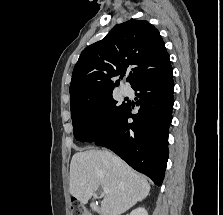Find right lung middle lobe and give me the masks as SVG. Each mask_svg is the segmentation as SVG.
<instances>
[{
    "label": "right lung middle lobe",
    "instance_id": "1",
    "mask_svg": "<svg viewBox=\"0 0 223 215\" xmlns=\"http://www.w3.org/2000/svg\"><path fill=\"white\" fill-rule=\"evenodd\" d=\"M127 104H117L112 97L71 108L73 134L81 142H93L106 136L123 117Z\"/></svg>",
    "mask_w": 223,
    "mask_h": 215
}]
</instances>
